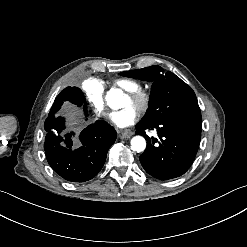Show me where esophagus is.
I'll return each instance as SVG.
<instances>
[{
	"label": "esophagus",
	"mask_w": 247,
	"mask_h": 247,
	"mask_svg": "<svg viewBox=\"0 0 247 247\" xmlns=\"http://www.w3.org/2000/svg\"><path fill=\"white\" fill-rule=\"evenodd\" d=\"M132 135H134V132L129 130V129H124V130H121V137L123 139H128L130 138Z\"/></svg>",
	"instance_id": "obj_1"
}]
</instances>
